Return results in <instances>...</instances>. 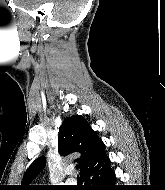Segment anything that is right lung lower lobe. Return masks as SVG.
I'll return each instance as SVG.
<instances>
[{
	"mask_svg": "<svg viewBox=\"0 0 165 190\" xmlns=\"http://www.w3.org/2000/svg\"><path fill=\"white\" fill-rule=\"evenodd\" d=\"M85 182L83 190H120L115 185V173L110 167L108 156L103 157L93 168L81 174Z\"/></svg>",
	"mask_w": 165,
	"mask_h": 190,
	"instance_id": "obj_1",
	"label": "right lung lower lobe"
}]
</instances>
